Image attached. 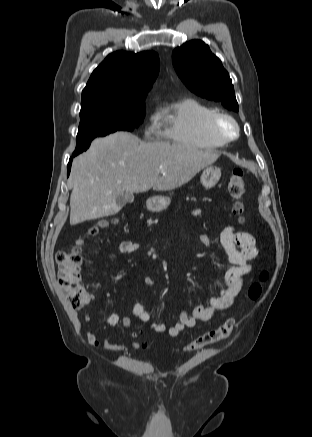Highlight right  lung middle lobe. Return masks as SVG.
<instances>
[{
    "label": "right lung middle lobe",
    "instance_id": "1",
    "mask_svg": "<svg viewBox=\"0 0 312 437\" xmlns=\"http://www.w3.org/2000/svg\"><path fill=\"white\" fill-rule=\"evenodd\" d=\"M145 112V105L136 108L99 106L81 109L77 144L72 156L85 151L96 137L116 131H132L142 123Z\"/></svg>",
    "mask_w": 312,
    "mask_h": 437
}]
</instances>
